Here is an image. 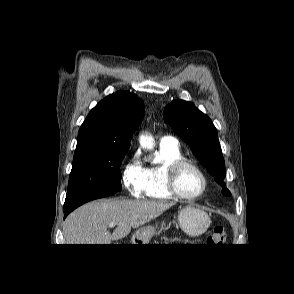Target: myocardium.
Instances as JSON below:
<instances>
[{"label": "myocardium", "mask_w": 294, "mask_h": 294, "mask_svg": "<svg viewBox=\"0 0 294 294\" xmlns=\"http://www.w3.org/2000/svg\"><path fill=\"white\" fill-rule=\"evenodd\" d=\"M185 167H190L193 170H195L202 179V188L200 192L197 193L196 195L186 196L182 194L178 189V186H177L178 175L181 172V170ZM207 185H208V181H207L206 174L194 161L190 159H186V158L177 159L173 161L167 169L166 186L170 194L177 199H180L183 201H195L199 199L201 196H203V194L205 193L207 189Z\"/></svg>", "instance_id": "obj_1"}]
</instances>
